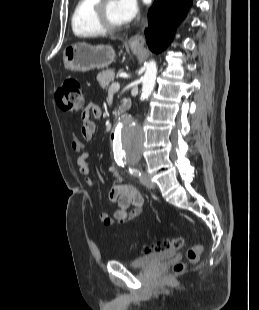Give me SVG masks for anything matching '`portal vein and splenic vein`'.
Listing matches in <instances>:
<instances>
[{
    "instance_id": "18ae733b",
    "label": "portal vein and splenic vein",
    "mask_w": 259,
    "mask_h": 310,
    "mask_svg": "<svg viewBox=\"0 0 259 310\" xmlns=\"http://www.w3.org/2000/svg\"><path fill=\"white\" fill-rule=\"evenodd\" d=\"M119 89H120V84L116 82L110 86L109 92H117Z\"/></svg>"
}]
</instances>
